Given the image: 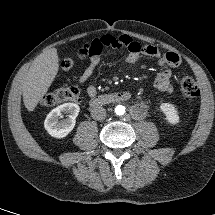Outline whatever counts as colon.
<instances>
[{
	"instance_id": "1",
	"label": "colon",
	"mask_w": 215,
	"mask_h": 215,
	"mask_svg": "<svg viewBox=\"0 0 215 215\" xmlns=\"http://www.w3.org/2000/svg\"><path fill=\"white\" fill-rule=\"evenodd\" d=\"M72 59H65L62 62V68L69 71L73 68ZM183 99L187 103L193 102L200 95L199 87L196 81L189 75L182 78L181 81ZM79 99V90L76 87L64 86L48 92L42 99L44 106H56L63 103L76 102Z\"/></svg>"
}]
</instances>
